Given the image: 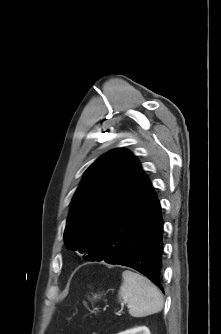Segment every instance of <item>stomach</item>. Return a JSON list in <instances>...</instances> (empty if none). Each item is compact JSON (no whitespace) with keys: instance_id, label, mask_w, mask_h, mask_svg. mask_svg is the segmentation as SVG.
I'll use <instances>...</instances> for the list:
<instances>
[{"instance_id":"obj_1","label":"stomach","mask_w":221,"mask_h":334,"mask_svg":"<svg viewBox=\"0 0 221 334\" xmlns=\"http://www.w3.org/2000/svg\"><path fill=\"white\" fill-rule=\"evenodd\" d=\"M94 298H95V299H96V298H100V295H95Z\"/></svg>"}]
</instances>
